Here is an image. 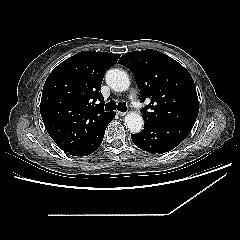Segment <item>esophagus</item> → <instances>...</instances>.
<instances>
[{"mask_svg": "<svg viewBox=\"0 0 240 240\" xmlns=\"http://www.w3.org/2000/svg\"><path fill=\"white\" fill-rule=\"evenodd\" d=\"M117 114H118L119 116H124L126 113H125V112H121V111H117Z\"/></svg>", "mask_w": 240, "mask_h": 240, "instance_id": "obj_1", "label": "esophagus"}]
</instances>
